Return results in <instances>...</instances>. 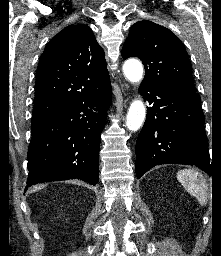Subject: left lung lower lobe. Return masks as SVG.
<instances>
[{
	"label": "left lung lower lobe",
	"instance_id": "1",
	"mask_svg": "<svg viewBox=\"0 0 221 256\" xmlns=\"http://www.w3.org/2000/svg\"><path fill=\"white\" fill-rule=\"evenodd\" d=\"M139 91L149 104L136 141V176L160 164L195 165L210 173L205 117L196 92L146 86Z\"/></svg>",
	"mask_w": 221,
	"mask_h": 256
}]
</instances>
